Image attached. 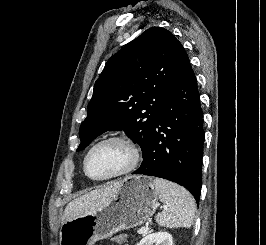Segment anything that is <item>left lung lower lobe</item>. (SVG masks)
I'll use <instances>...</instances> for the list:
<instances>
[{
    "label": "left lung lower lobe",
    "mask_w": 266,
    "mask_h": 245,
    "mask_svg": "<svg viewBox=\"0 0 266 245\" xmlns=\"http://www.w3.org/2000/svg\"><path fill=\"white\" fill-rule=\"evenodd\" d=\"M204 140L197 80L188 61L153 121L143 162L132 174L176 182L199 202Z\"/></svg>",
    "instance_id": "0a47b994"
}]
</instances>
